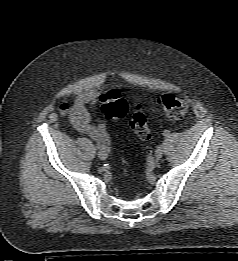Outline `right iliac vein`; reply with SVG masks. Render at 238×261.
Listing matches in <instances>:
<instances>
[{
    "label": "right iliac vein",
    "mask_w": 238,
    "mask_h": 261,
    "mask_svg": "<svg viewBox=\"0 0 238 261\" xmlns=\"http://www.w3.org/2000/svg\"><path fill=\"white\" fill-rule=\"evenodd\" d=\"M98 157L101 159V160H105L107 158V153L106 151L104 150H99L98 151Z\"/></svg>",
    "instance_id": "right-iliac-vein-1"
}]
</instances>
